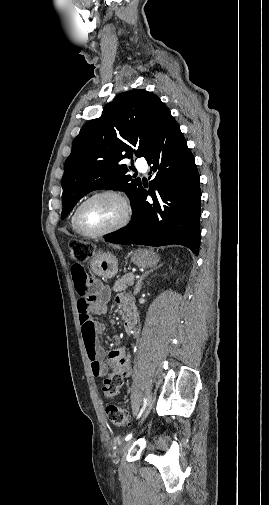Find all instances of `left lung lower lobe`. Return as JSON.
<instances>
[{"label":"left lung lower lobe","mask_w":269,"mask_h":505,"mask_svg":"<svg viewBox=\"0 0 269 505\" xmlns=\"http://www.w3.org/2000/svg\"><path fill=\"white\" fill-rule=\"evenodd\" d=\"M154 178L141 187L130 223L105 239L117 244L200 247L201 190L195 159L169 112L156 128L145 155ZM150 195L153 200L146 201Z\"/></svg>","instance_id":"0a47b994"}]
</instances>
